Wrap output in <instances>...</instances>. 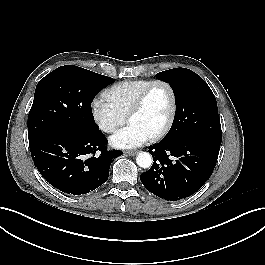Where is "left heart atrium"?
<instances>
[{"mask_svg": "<svg viewBox=\"0 0 265 265\" xmlns=\"http://www.w3.org/2000/svg\"><path fill=\"white\" fill-rule=\"evenodd\" d=\"M151 136L135 124H129L110 138V144L119 149H133L146 143Z\"/></svg>", "mask_w": 265, "mask_h": 265, "instance_id": "1", "label": "left heart atrium"}]
</instances>
